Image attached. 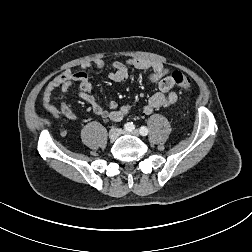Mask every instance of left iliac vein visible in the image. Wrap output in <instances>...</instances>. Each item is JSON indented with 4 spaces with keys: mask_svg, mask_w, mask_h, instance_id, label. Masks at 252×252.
<instances>
[{
    "mask_svg": "<svg viewBox=\"0 0 252 252\" xmlns=\"http://www.w3.org/2000/svg\"><path fill=\"white\" fill-rule=\"evenodd\" d=\"M131 134L135 135V136H138L139 135V131L137 129L133 130L131 132Z\"/></svg>",
    "mask_w": 252,
    "mask_h": 252,
    "instance_id": "4c4485c4",
    "label": "left iliac vein"
}]
</instances>
